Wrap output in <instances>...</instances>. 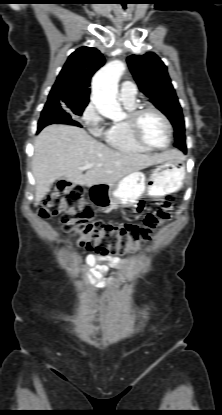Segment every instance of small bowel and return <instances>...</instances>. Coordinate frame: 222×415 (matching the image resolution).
I'll use <instances>...</instances> for the list:
<instances>
[{
    "label": "small bowel",
    "instance_id": "c3829d8e",
    "mask_svg": "<svg viewBox=\"0 0 222 415\" xmlns=\"http://www.w3.org/2000/svg\"><path fill=\"white\" fill-rule=\"evenodd\" d=\"M86 265L93 267L98 265V268L88 273V281L92 285H103L106 282V264L111 262L116 266H123L125 261L119 258H108L100 255H88L85 259Z\"/></svg>",
    "mask_w": 222,
    "mask_h": 415
}]
</instances>
